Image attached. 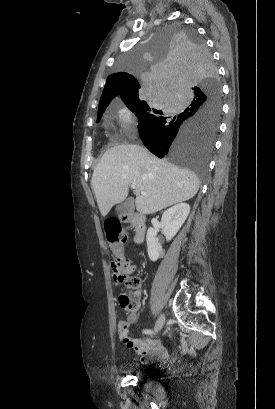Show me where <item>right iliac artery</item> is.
Listing matches in <instances>:
<instances>
[{"instance_id": "82829eb1", "label": "right iliac artery", "mask_w": 275, "mask_h": 409, "mask_svg": "<svg viewBox=\"0 0 275 409\" xmlns=\"http://www.w3.org/2000/svg\"><path fill=\"white\" fill-rule=\"evenodd\" d=\"M144 332L145 333H151V330H145Z\"/></svg>"}]
</instances>
